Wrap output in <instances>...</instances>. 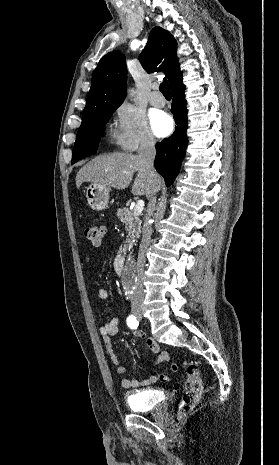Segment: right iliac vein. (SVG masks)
I'll use <instances>...</instances> for the list:
<instances>
[{"mask_svg":"<svg viewBox=\"0 0 279 465\" xmlns=\"http://www.w3.org/2000/svg\"><path fill=\"white\" fill-rule=\"evenodd\" d=\"M133 313H134L135 316L141 317L142 310L140 308H136V309L133 310Z\"/></svg>","mask_w":279,"mask_h":465,"instance_id":"obj_1","label":"right iliac vein"}]
</instances>
